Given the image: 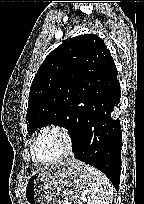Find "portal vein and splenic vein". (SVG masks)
I'll use <instances>...</instances> for the list:
<instances>
[{"instance_id":"1","label":"portal vein and splenic vein","mask_w":144,"mask_h":204,"mask_svg":"<svg viewBox=\"0 0 144 204\" xmlns=\"http://www.w3.org/2000/svg\"><path fill=\"white\" fill-rule=\"evenodd\" d=\"M84 199H85V196L80 197V200H84ZM67 204H69V203H67Z\"/></svg>"}]
</instances>
